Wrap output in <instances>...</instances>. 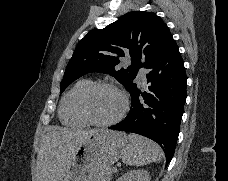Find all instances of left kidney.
Instances as JSON below:
<instances>
[{
	"mask_svg": "<svg viewBox=\"0 0 228 181\" xmlns=\"http://www.w3.org/2000/svg\"><path fill=\"white\" fill-rule=\"evenodd\" d=\"M118 181H151L148 171H128L125 175H122Z\"/></svg>",
	"mask_w": 228,
	"mask_h": 181,
	"instance_id": "1",
	"label": "left kidney"
}]
</instances>
